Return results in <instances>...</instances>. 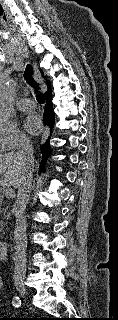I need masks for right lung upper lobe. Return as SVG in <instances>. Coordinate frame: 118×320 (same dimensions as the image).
Returning a JSON list of instances; mask_svg holds the SVG:
<instances>
[{
    "label": "right lung upper lobe",
    "mask_w": 118,
    "mask_h": 320,
    "mask_svg": "<svg viewBox=\"0 0 118 320\" xmlns=\"http://www.w3.org/2000/svg\"><path fill=\"white\" fill-rule=\"evenodd\" d=\"M47 84L50 86V82L49 81H47ZM47 93H49V91Z\"/></svg>",
    "instance_id": "obj_1"
}]
</instances>
